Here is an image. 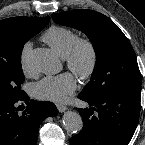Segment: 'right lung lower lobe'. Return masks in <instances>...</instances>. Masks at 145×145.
I'll list each match as a JSON object with an SVG mask.
<instances>
[{
  "label": "right lung lower lobe",
  "instance_id": "98d812e1",
  "mask_svg": "<svg viewBox=\"0 0 145 145\" xmlns=\"http://www.w3.org/2000/svg\"><path fill=\"white\" fill-rule=\"evenodd\" d=\"M22 101L26 107L18 106ZM57 114L52 102L30 100L26 93L18 99H0V145H36L42 120Z\"/></svg>",
  "mask_w": 145,
  "mask_h": 145
}]
</instances>
